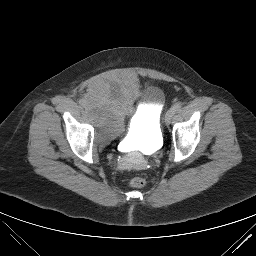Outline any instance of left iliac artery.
<instances>
[{
    "mask_svg": "<svg viewBox=\"0 0 256 256\" xmlns=\"http://www.w3.org/2000/svg\"><path fill=\"white\" fill-rule=\"evenodd\" d=\"M180 108H181V104H180V103H176V104H174V105L172 106L171 109H172L174 112H177V111L180 110Z\"/></svg>",
    "mask_w": 256,
    "mask_h": 256,
    "instance_id": "left-iliac-artery-1",
    "label": "left iliac artery"
}]
</instances>
